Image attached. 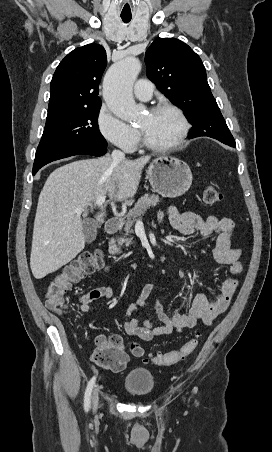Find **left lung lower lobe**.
Segmentation results:
<instances>
[{
  "label": "left lung lower lobe",
  "mask_w": 272,
  "mask_h": 452,
  "mask_svg": "<svg viewBox=\"0 0 272 452\" xmlns=\"http://www.w3.org/2000/svg\"><path fill=\"white\" fill-rule=\"evenodd\" d=\"M194 137H199V136H198V134H190V135L188 136V138H194ZM218 140L221 141V142H223V143H225V144H227V145H229V146H233V147L236 146V144H235L232 140H228V139H226V138H220V139H218Z\"/></svg>",
  "instance_id": "left-lung-lower-lobe-1"
}]
</instances>
